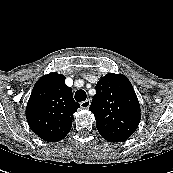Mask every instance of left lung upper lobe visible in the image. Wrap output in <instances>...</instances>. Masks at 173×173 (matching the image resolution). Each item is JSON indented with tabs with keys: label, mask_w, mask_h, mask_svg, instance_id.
I'll list each match as a JSON object with an SVG mask.
<instances>
[{
	"label": "left lung upper lobe",
	"mask_w": 173,
	"mask_h": 173,
	"mask_svg": "<svg viewBox=\"0 0 173 173\" xmlns=\"http://www.w3.org/2000/svg\"><path fill=\"white\" fill-rule=\"evenodd\" d=\"M89 110L95 115L98 132L110 142L127 140L141 118L133 86L121 74L109 73L98 81Z\"/></svg>",
	"instance_id": "left-lung-upper-lobe-1"
}]
</instances>
